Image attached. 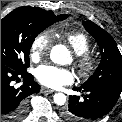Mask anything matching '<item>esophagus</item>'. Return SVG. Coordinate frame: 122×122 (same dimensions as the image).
Masks as SVG:
<instances>
[{
	"instance_id": "34e87169",
	"label": "esophagus",
	"mask_w": 122,
	"mask_h": 122,
	"mask_svg": "<svg viewBox=\"0 0 122 122\" xmlns=\"http://www.w3.org/2000/svg\"><path fill=\"white\" fill-rule=\"evenodd\" d=\"M41 91L44 92V93H55L54 90L46 88V87H42Z\"/></svg>"
}]
</instances>
